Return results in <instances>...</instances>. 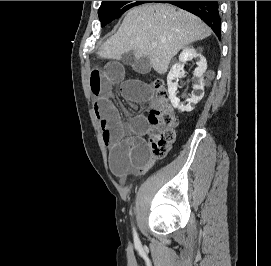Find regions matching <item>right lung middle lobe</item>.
Returning <instances> with one entry per match:
<instances>
[{"label": "right lung middle lobe", "instance_id": "obj_1", "mask_svg": "<svg viewBox=\"0 0 271 266\" xmlns=\"http://www.w3.org/2000/svg\"><path fill=\"white\" fill-rule=\"evenodd\" d=\"M149 2L151 1H102V4L98 10L101 26L104 27L114 19L119 18L130 8Z\"/></svg>", "mask_w": 271, "mask_h": 266}]
</instances>
